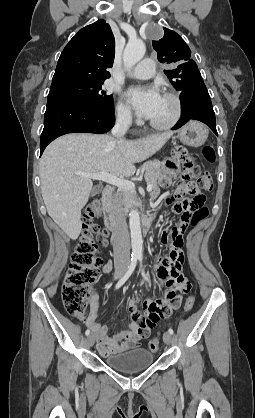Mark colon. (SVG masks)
Masks as SVG:
<instances>
[{"label": "colon", "mask_w": 255, "mask_h": 418, "mask_svg": "<svg viewBox=\"0 0 255 418\" xmlns=\"http://www.w3.org/2000/svg\"><path fill=\"white\" fill-rule=\"evenodd\" d=\"M202 155L210 163L215 161V151L210 146L203 148ZM183 176L189 181L187 190L193 194V197L183 199L174 211L178 215L182 213L186 230L189 223L196 224L208 215L207 209L203 206L205 197L201 190H211L213 183L208 172H199L192 163H184ZM101 212V200L94 199L87 205L84 212L83 232L62 285L61 294L65 309L71 316L77 318H80L86 310L90 287L97 280L102 265L101 249L107 245L108 233L94 222ZM194 303L195 298L189 296L185 301L183 313H188ZM148 349L153 352L157 351L158 339H152L148 344Z\"/></svg>", "instance_id": "5ec220e1"}]
</instances>
